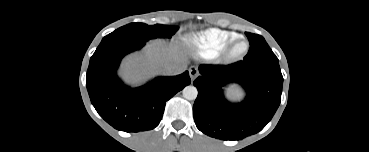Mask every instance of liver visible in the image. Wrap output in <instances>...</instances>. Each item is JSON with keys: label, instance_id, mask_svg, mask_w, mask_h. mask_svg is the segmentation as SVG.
<instances>
[{"label": "liver", "instance_id": "1", "mask_svg": "<svg viewBox=\"0 0 369 152\" xmlns=\"http://www.w3.org/2000/svg\"><path fill=\"white\" fill-rule=\"evenodd\" d=\"M166 64L186 67V58L176 45L152 42L143 54L131 55L122 65L123 76L132 83H138L157 72L164 73Z\"/></svg>", "mask_w": 369, "mask_h": 152}]
</instances>
